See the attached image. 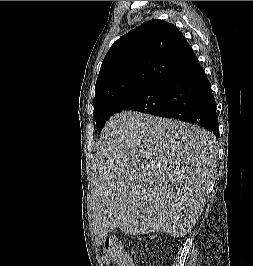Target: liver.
Masks as SVG:
<instances>
[{"label": "liver", "instance_id": "1", "mask_svg": "<svg viewBox=\"0 0 253 266\" xmlns=\"http://www.w3.org/2000/svg\"><path fill=\"white\" fill-rule=\"evenodd\" d=\"M216 157L215 137L196 125L138 112L111 117L93 164L96 244L116 228L189 233L203 212Z\"/></svg>", "mask_w": 253, "mask_h": 266}]
</instances>
